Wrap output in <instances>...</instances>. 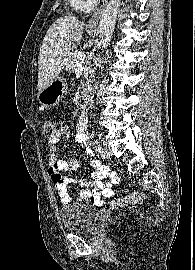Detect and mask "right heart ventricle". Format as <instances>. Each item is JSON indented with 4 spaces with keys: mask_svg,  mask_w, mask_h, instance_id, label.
Listing matches in <instances>:
<instances>
[{
    "mask_svg": "<svg viewBox=\"0 0 195 270\" xmlns=\"http://www.w3.org/2000/svg\"><path fill=\"white\" fill-rule=\"evenodd\" d=\"M71 6L80 12H87L92 8L93 3L90 0H69Z\"/></svg>",
    "mask_w": 195,
    "mask_h": 270,
    "instance_id": "1",
    "label": "right heart ventricle"
}]
</instances>
